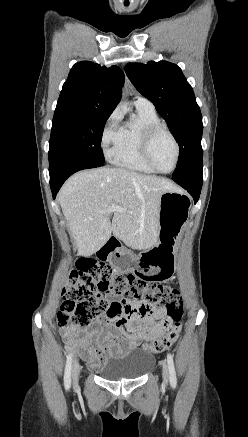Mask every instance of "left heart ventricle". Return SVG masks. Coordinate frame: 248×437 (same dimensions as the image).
<instances>
[{"mask_svg": "<svg viewBox=\"0 0 248 437\" xmlns=\"http://www.w3.org/2000/svg\"><path fill=\"white\" fill-rule=\"evenodd\" d=\"M151 156L154 164L162 171L173 167L175 160V146L172 139L164 132L156 135L151 146Z\"/></svg>", "mask_w": 248, "mask_h": 437, "instance_id": "obj_1", "label": "left heart ventricle"}]
</instances>
